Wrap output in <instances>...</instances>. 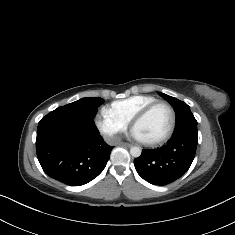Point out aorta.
<instances>
[{"label":"aorta","instance_id":"aorta-1","mask_svg":"<svg viewBox=\"0 0 235 235\" xmlns=\"http://www.w3.org/2000/svg\"><path fill=\"white\" fill-rule=\"evenodd\" d=\"M130 154L135 158L139 157L141 155V149L137 146H133L130 148Z\"/></svg>","mask_w":235,"mask_h":235}]
</instances>
